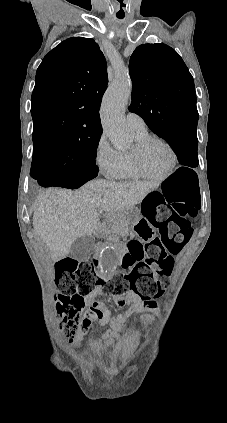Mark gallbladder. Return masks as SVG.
<instances>
[{
    "mask_svg": "<svg viewBox=\"0 0 227 423\" xmlns=\"http://www.w3.org/2000/svg\"><path fill=\"white\" fill-rule=\"evenodd\" d=\"M93 245H95L94 235H85V237H78L75 239L73 245L70 247L69 255L78 259V261H83L89 257Z\"/></svg>",
    "mask_w": 227,
    "mask_h": 423,
    "instance_id": "1",
    "label": "gallbladder"
}]
</instances>
